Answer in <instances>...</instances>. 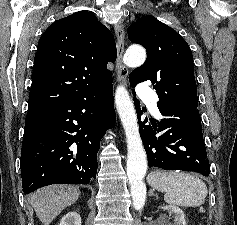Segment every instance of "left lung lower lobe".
Returning <instances> with one entry per match:
<instances>
[{
    "instance_id": "1",
    "label": "left lung lower lobe",
    "mask_w": 237,
    "mask_h": 225,
    "mask_svg": "<svg viewBox=\"0 0 237 225\" xmlns=\"http://www.w3.org/2000/svg\"><path fill=\"white\" fill-rule=\"evenodd\" d=\"M133 94L136 95L135 91ZM134 102L141 119L139 100L134 98ZM158 108L165 118L158 123L151 122L152 125H146L148 119L145 118L139 127L149 167L196 171L208 176L210 165L197 104Z\"/></svg>"
}]
</instances>
